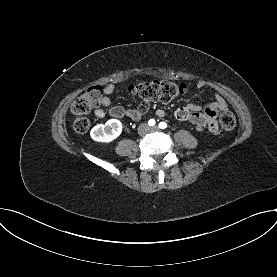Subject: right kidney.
Masks as SVG:
<instances>
[{"mask_svg":"<svg viewBox=\"0 0 277 277\" xmlns=\"http://www.w3.org/2000/svg\"><path fill=\"white\" fill-rule=\"evenodd\" d=\"M122 132V123L117 119H110L105 124H98L91 129L90 136L97 142H112Z\"/></svg>","mask_w":277,"mask_h":277,"instance_id":"obj_1","label":"right kidney"}]
</instances>
